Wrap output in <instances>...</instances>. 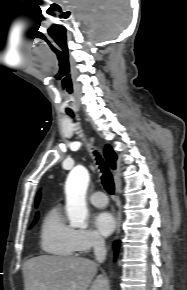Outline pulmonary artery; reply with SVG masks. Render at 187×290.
<instances>
[{
    "mask_svg": "<svg viewBox=\"0 0 187 290\" xmlns=\"http://www.w3.org/2000/svg\"><path fill=\"white\" fill-rule=\"evenodd\" d=\"M90 202L94 205V206H97V207H104L107 205V197L106 195L101 192V191H98V192H95L93 193L91 196H90Z\"/></svg>",
    "mask_w": 187,
    "mask_h": 290,
    "instance_id": "1",
    "label": "pulmonary artery"
}]
</instances>
